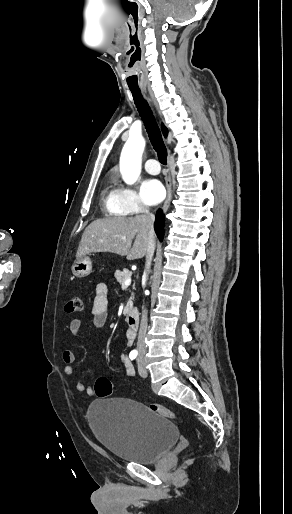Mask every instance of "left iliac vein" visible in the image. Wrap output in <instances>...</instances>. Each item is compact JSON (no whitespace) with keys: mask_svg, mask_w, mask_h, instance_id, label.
<instances>
[{"mask_svg":"<svg viewBox=\"0 0 292 514\" xmlns=\"http://www.w3.org/2000/svg\"><path fill=\"white\" fill-rule=\"evenodd\" d=\"M138 372L141 377L145 378L147 377V369L145 368V364L142 358L138 359Z\"/></svg>","mask_w":292,"mask_h":514,"instance_id":"left-iliac-vein-1","label":"left iliac vein"}]
</instances>
